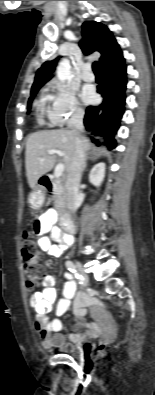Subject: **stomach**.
<instances>
[{
	"label": "stomach",
	"instance_id": "stomach-1",
	"mask_svg": "<svg viewBox=\"0 0 155 395\" xmlns=\"http://www.w3.org/2000/svg\"><path fill=\"white\" fill-rule=\"evenodd\" d=\"M45 200V195L39 186L35 187L29 197L30 206L33 209H39Z\"/></svg>",
	"mask_w": 155,
	"mask_h": 395
}]
</instances>
